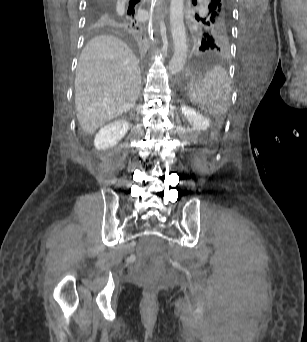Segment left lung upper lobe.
<instances>
[{"instance_id":"5c2ea615","label":"left lung upper lobe","mask_w":307,"mask_h":342,"mask_svg":"<svg viewBox=\"0 0 307 342\" xmlns=\"http://www.w3.org/2000/svg\"><path fill=\"white\" fill-rule=\"evenodd\" d=\"M196 5V0H192ZM194 41L200 51L224 54L231 36V9L228 0H207L201 16L195 15Z\"/></svg>"}]
</instances>
